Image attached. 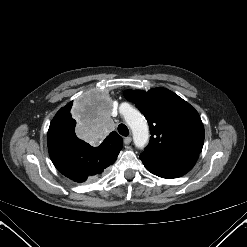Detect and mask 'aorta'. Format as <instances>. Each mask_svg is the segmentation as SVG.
I'll use <instances>...</instances> for the list:
<instances>
[{
    "mask_svg": "<svg viewBox=\"0 0 247 247\" xmlns=\"http://www.w3.org/2000/svg\"><path fill=\"white\" fill-rule=\"evenodd\" d=\"M121 110H123L126 123L132 130L135 146L140 149L144 148L149 141V128L146 119L138 110L129 105L121 106Z\"/></svg>",
    "mask_w": 247,
    "mask_h": 247,
    "instance_id": "762f6f07",
    "label": "aorta"
}]
</instances>
